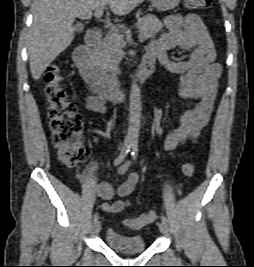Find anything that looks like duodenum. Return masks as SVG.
Wrapping results in <instances>:
<instances>
[{"mask_svg": "<svg viewBox=\"0 0 254 267\" xmlns=\"http://www.w3.org/2000/svg\"><path fill=\"white\" fill-rule=\"evenodd\" d=\"M101 42V29L96 27L89 30L85 36V44L74 51V63L97 96L109 101L122 99L127 94V90L119 85L115 74L98 67L92 57L93 51L100 46ZM154 69V59L145 56L139 67L132 73L131 80L142 81L151 76Z\"/></svg>", "mask_w": 254, "mask_h": 267, "instance_id": "1", "label": "duodenum"}]
</instances>
